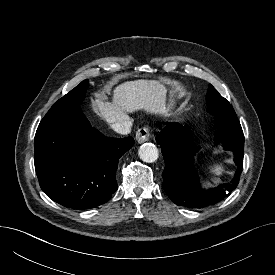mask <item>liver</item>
<instances>
[{
  "label": "liver",
  "mask_w": 275,
  "mask_h": 275,
  "mask_svg": "<svg viewBox=\"0 0 275 275\" xmlns=\"http://www.w3.org/2000/svg\"><path fill=\"white\" fill-rule=\"evenodd\" d=\"M165 91L156 80H135L125 82L114 90L113 102L97 98L94 102L100 115L108 123L123 121L128 112L145 110L153 114H165Z\"/></svg>",
  "instance_id": "obj_1"
}]
</instances>
